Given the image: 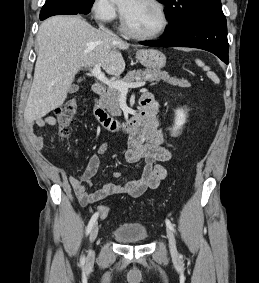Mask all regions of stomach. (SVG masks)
<instances>
[{"label":"stomach","instance_id":"stomach-1","mask_svg":"<svg viewBox=\"0 0 259 283\" xmlns=\"http://www.w3.org/2000/svg\"><path fill=\"white\" fill-rule=\"evenodd\" d=\"M140 63L152 70H159L166 64V56L157 49H141L136 52Z\"/></svg>","mask_w":259,"mask_h":283}]
</instances>
